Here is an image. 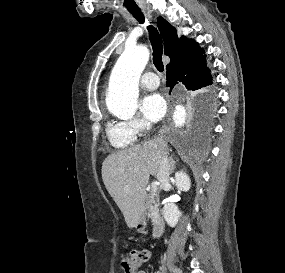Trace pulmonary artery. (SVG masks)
Returning a JSON list of instances; mask_svg holds the SVG:
<instances>
[{
  "instance_id": "1",
  "label": "pulmonary artery",
  "mask_w": 285,
  "mask_h": 273,
  "mask_svg": "<svg viewBox=\"0 0 285 273\" xmlns=\"http://www.w3.org/2000/svg\"><path fill=\"white\" fill-rule=\"evenodd\" d=\"M141 85L145 89L153 90L160 85V81L154 72H146L141 77Z\"/></svg>"
}]
</instances>
